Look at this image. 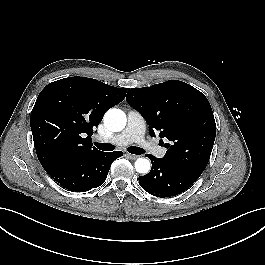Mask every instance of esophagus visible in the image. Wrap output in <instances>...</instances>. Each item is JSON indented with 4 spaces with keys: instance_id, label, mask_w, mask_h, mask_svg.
Returning a JSON list of instances; mask_svg holds the SVG:
<instances>
[{
    "instance_id": "1",
    "label": "esophagus",
    "mask_w": 265,
    "mask_h": 265,
    "mask_svg": "<svg viewBox=\"0 0 265 265\" xmlns=\"http://www.w3.org/2000/svg\"><path fill=\"white\" fill-rule=\"evenodd\" d=\"M126 155H127V157H129L132 160H135V159L138 158V156L137 155H134V154L127 153Z\"/></svg>"
}]
</instances>
